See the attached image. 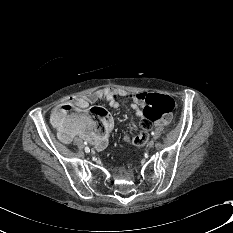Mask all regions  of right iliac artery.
<instances>
[{
    "label": "right iliac artery",
    "mask_w": 233,
    "mask_h": 233,
    "mask_svg": "<svg viewBox=\"0 0 233 233\" xmlns=\"http://www.w3.org/2000/svg\"><path fill=\"white\" fill-rule=\"evenodd\" d=\"M84 144L87 145L86 142H84ZM85 152H87V153L90 152V149H89L88 147H86V148H85Z\"/></svg>",
    "instance_id": "82829eb1"
}]
</instances>
